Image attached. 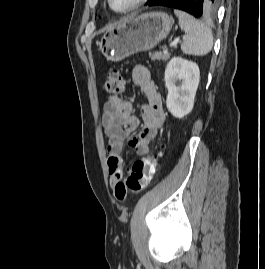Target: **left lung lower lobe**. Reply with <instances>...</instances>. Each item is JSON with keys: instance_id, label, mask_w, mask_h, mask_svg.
<instances>
[{"instance_id": "0a47b994", "label": "left lung lower lobe", "mask_w": 265, "mask_h": 269, "mask_svg": "<svg viewBox=\"0 0 265 269\" xmlns=\"http://www.w3.org/2000/svg\"><path fill=\"white\" fill-rule=\"evenodd\" d=\"M148 5L180 9L202 19L213 18L217 11V0H152Z\"/></svg>"}]
</instances>
